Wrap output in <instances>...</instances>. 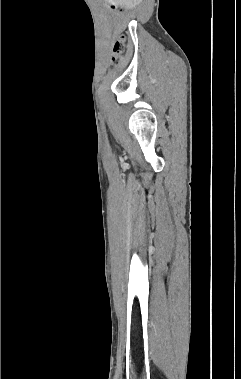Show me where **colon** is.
Segmentation results:
<instances>
[{
    "instance_id": "1",
    "label": "colon",
    "mask_w": 241,
    "mask_h": 379,
    "mask_svg": "<svg viewBox=\"0 0 241 379\" xmlns=\"http://www.w3.org/2000/svg\"><path fill=\"white\" fill-rule=\"evenodd\" d=\"M125 37H120L116 40L112 50V56L110 61L111 68H117L121 66L124 62V46H125Z\"/></svg>"
}]
</instances>
